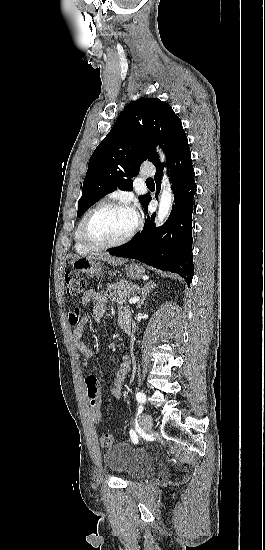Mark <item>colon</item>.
Returning <instances> with one entry per match:
<instances>
[{"instance_id": "colon-1", "label": "colon", "mask_w": 265, "mask_h": 550, "mask_svg": "<svg viewBox=\"0 0 265 550\" xmlns=\"http://www.w3.org/2000/svg\"><path fill=\"white\" fill-rule=\"evenodd\" d=\"M66 293L70 297L80 295L87 286L86 279L76 271H67L64 276ZM74 316L72 315L71 323L75 324ZM87 395L90 401L91 415L93 419L100 420L101 413V393L98 380L94 376H89L85 380ZM113 443V437L106 432L101 436V444L108 447Z\"/></svg>"}]
</instances>
